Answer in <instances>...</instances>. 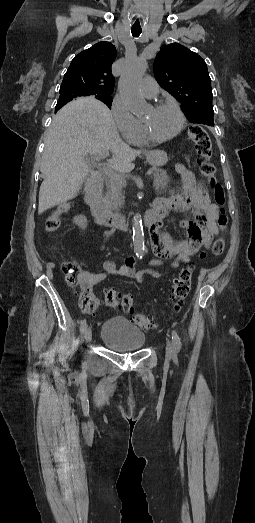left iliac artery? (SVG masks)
<instances>
[{
	"label": "left iliac artery",
	"mask_w": 255,
	"mask_h": 523,
	"mask_svg": "<svg viewBox=\"0 0 255 523\" xmlns=\"http://www.w3.org/2000/svg\"><path fill=\"white\" fill-rule=\"evenodd\" d=\"M172 343L175 348L176 353L179 352L181 348L180 338L175 330L172 331Z\"/></svg>",
	"instance_id": "obj_1"
}]
</instances>
